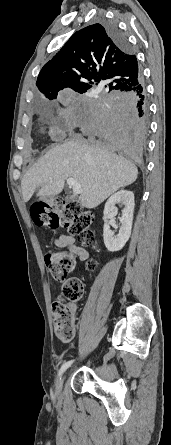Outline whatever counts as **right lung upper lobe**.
<instances>
[{
	"label": "right lung upper lobe",
	"mask_w": 171,
	"mask_h": 445,
	"mask_svg": "<svg viewBox=\"0 0 171 445\" xmlns=\"http://www.w3.org/2000/svg\"><path fill=\"white\" fill-rule=\"evenodd\" d=\"M105 81L108 93H125L142 82L136 56L118 46L101 24L77 31L41 69L36 82L50 100L69 87L83 93Z\"/></svg>",
	"instance_id": "cb5924a9"
}]
</instances>
